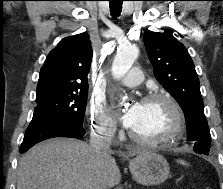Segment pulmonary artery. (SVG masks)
Segmentation results:
<instances>
[{
    "instance_id": "e3ab8cb5",
    "label": "pulmonary artery",
    "mask_w": 223,
    "mask_h": 189,
    "mask_svg": "<svg viewBox=\"0 0 223 189\" xmlns=\"http://www.w3.org/2000/svg\"><path fill=\"white\" fill-rule=\"evenodd\" d=\"M143 74L141 69L132 68L130 72L119 79V82L127 87H136L141 84Z\"/></svg>"
}]
</instances>
